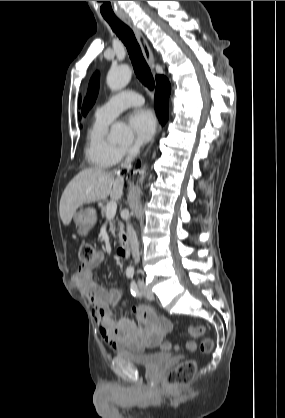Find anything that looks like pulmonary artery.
<instances>
[{"label":"pulmonary artery","instance_id":"obj_1","mask_svg":"<svg viewBox=\"0 0 285 418\" xmlns=\"http://www.w3.org/2000/svg\"><path fill=\"white\" fill-rule=\"evenodd\" d=\"M144 103V99L141 95L125 91L113 96L107 102L97 108L95 117L105 121H113L117 115L131 106H138Z\"/></svg>","mask_w":285,"mask_h":418}]
</instances>
